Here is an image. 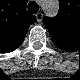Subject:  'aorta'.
<instances>
[{
    "label": "aorta",
    "mask_w": 80,
    "mask_h": 80,
    "mask_svg": "<svg viewBox=\"0 0 80 80\" xmlns=\"http://www.w3.org/2000/svg\"><path fill=\"white\" fill-rule=\"evenodd\" d=\"M47 13L51 14V15H56L57 11H58V5L57 4H52L49 3L46 7H45Z\"/></svg>",
    "instance_id": "aorta-1"
}]
</instances>
